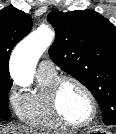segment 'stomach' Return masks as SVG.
I'll return each mask as SVG.
<instances>
[{
  "label": "stomach",
  "mask_w": 116,
  "mask_h": 134,
  "mask_svg": "<svg viewBox=\"0 0 116 134\" xmlns=\"http://www.w3.org/2000/svg\"><path fill=\"white\" fill-rule=\"evenodd\" d=\"M87 134H111V133L102 129L95 128V129L89 130Z\"/></svg>",
  "instance_id": "obj_1"
}]
</instances>
